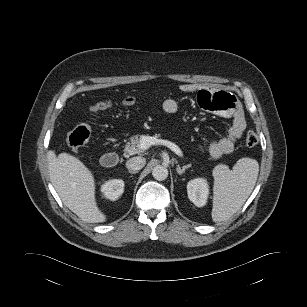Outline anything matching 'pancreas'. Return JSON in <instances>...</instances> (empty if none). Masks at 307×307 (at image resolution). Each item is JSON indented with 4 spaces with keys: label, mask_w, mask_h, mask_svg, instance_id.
Here are the masks:
<instances>
[{
    "label": "pancreas",
    "mask_w": 307,
    "mask_h": 307,
    "mask_svg": "<svg viewBox=\"0 0 307 307\" xmlns=\"http://www.w3.org/2000/svg\"><path fill=\"white\" fill-rule=\"evenodd\" d=\"M143 135H133L130 137V141L125 145L124 156L129 157L131 155L140 154L143 149L140 148V141Z\"/></svg>",
    "instance_id": "cf45deb5"
}]
</instances>
